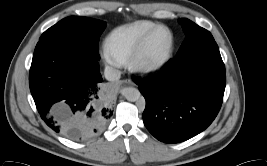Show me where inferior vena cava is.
Instances as JSON below:
<instances>
[{"mask_svg": "<svg viewBox=\"0 0 267 166\" xmlns=\"http://www.w3.org/2000/svg\"><path fill=\"white\" fill-rule=\"evenodd\" d=\"M104 76L108 81L118 80L121 76V72L110 66H106L104 70Z\"/></svg>", "mask_w": 267, "mask_h": 166, "instance_id": "1", "label": "inferior vena cava"}]
</instances>
